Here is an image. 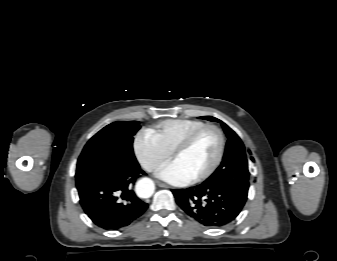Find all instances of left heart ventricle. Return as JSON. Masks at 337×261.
<instances>
[{
    "label": "left heart ventricle",
    "mask_w": 337,
    "mask_h": 261,
    "mask_svg": "<svg viewBox=\"0 0 337 261\" xmlns=\"http://www.w3.org/2000/svg\"><path fill=\"white\" fill-rule=\"evenodd\" d=\"M219 150V137L208 130L200 134L193 144L174 160L193 178L207 170L214 162Z\"/></svg>",
    "instance_id": "left-heart-ventricle-1"
}]
</instances>
